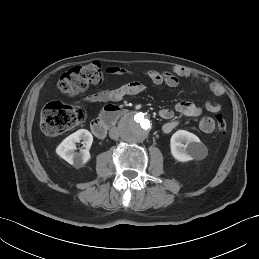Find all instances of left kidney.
Returning <instances> with one entry per match:
<instances>
[{
	"label": "left kidney",
	"mask_w": 259,
	"mask_h": 259,
	"mask_svg": "<svg viewBox=\"0 0 259 259\" xmlns=\"http://www.w3.org/2000/svg\"><path fill=\"white\" fill-rule=\"evenodd\" d=\"M203 147L200 139L185 130H178L170 139L172 156L180 162H187L196 158Z\"/></svg>",
	"instance_id": "left-kidney-1"
}]
</instances>
